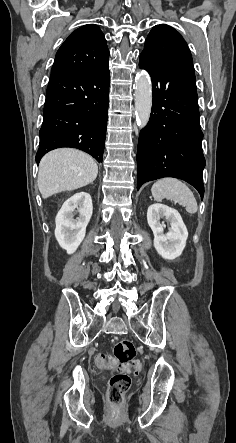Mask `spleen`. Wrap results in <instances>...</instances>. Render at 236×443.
<instances>
[{"instance_id": "obj_1", "label": "spleen", "mask_w": 236, "mask_h": 443, "mask_svg": "<svg viewBox=\"0 0 236 443\" xmlns=\"http://www.w3.org/2000/svg\"><path fill=\"white\" fill-rule=\"evenodd\" d=\"M151 192L156 201H162L164 198L173 200L175 203L184 206L190 214H194L198 210L197 201L193 192L186 184L178 179H160L153 184Z\"/></svg>"}]
</instances>
